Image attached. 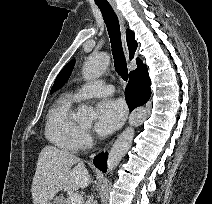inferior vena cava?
<instances>
[{"label": "inferior vena cava", "mask_w": 212, "mask_h": 204, "mask_svg": "<svg viewBox=\"0 0 212 204\" xmlns=\"http://www.w3.org/2000/svg\"><path fill=\"white\" fill-rule=\"evenodd\" d=\"M93 199H94L93 195L88 196V200H87L86 204H93Z\"/></svg>", "instance_id": "obj_1"}]
</instances>
